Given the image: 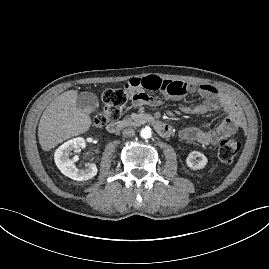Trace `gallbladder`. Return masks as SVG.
Wrapping results in <instances>:
<instances>
[{
    "mask_svg": "<svg viewBox=\"0 0 269 269\" xmlns=\"http://www.w3.org/2000/svg\"><path fill=\"white\" fill-rule=\"evenodd\" d=\"M76 106L86 113H92L99 107L97 96L92 92H82L78 95Z\"/></svg>",
    "mask_w": 269,
    "mask_h": 269,
    "instance_id": "gallbladder-1",
    "label": "gallbladder"
}]
</instances>
